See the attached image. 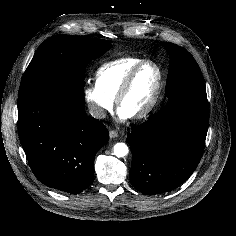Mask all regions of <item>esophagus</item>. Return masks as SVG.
Wrapping results in <instances>:
<instances>
[{
    "label": "esophagus",
    "instance_id": "1",
    "mask_svg": "<svg viewBox=\"0 0 236 236\" xmlns=\"http://www.w3.org/2000/svg\"><path fill=\"white\" fill-rule=\"evenodd\" d=\"M109 136H110L111 139H114V138L118 137V132L115 131V130H110L109 131Z\"/></svg>",
    "mask_w": 236,
    "mask_h": 236
}]
</instances>
